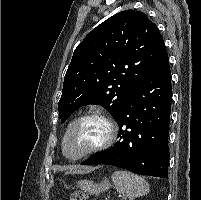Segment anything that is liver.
<instances>
[{"label":"liver","mask_w":201,"mask_h":200,"mask_svg":"<svg viewBox=\"0 0 201 200\" xmlns=\"http://www.w3.org/2000/svg\"><path fill=\"white\" fill-rule=\"evenodd\" d=\"M74 173L78 172L77 170L73 171Z\"/></svg>","instance_id":"1"}]
</instances>
